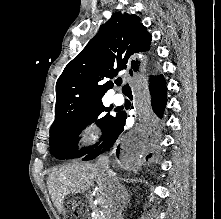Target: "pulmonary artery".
<instances>
[{"label":"pulmonary artery","mask_w":221,"mask_h":219,"mask_svg":"<svg viewBox=\"0 0 221 219\" xmlns=\"http://www.w3.org/2000/svg\"><path fill=\"white\" fill-rule=\"evenodd\" d=\"M112 101L116 104V105H121L124 102V97L119 94L116 93L112 96Z\"/></svg>","instance_id":"pulmonary-artery-1"}]
</instances>
